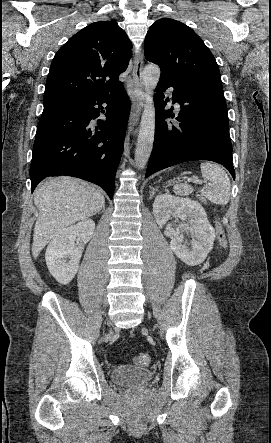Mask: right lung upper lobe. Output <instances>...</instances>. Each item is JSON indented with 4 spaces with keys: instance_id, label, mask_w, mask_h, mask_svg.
Segmentation results:
<instances>
[{
    "instance_id": "1",
    "label": "right lung upper lobe",
    "mask_w": 271,
    "mask_h": 443,
    "mask_svg": "<svg viewBox=\"0 0 271 443\" xmlns=\"http://www.w3.org/2000/svg\"><path fill=\"white\" fill-rule=\"evenodd\" d=\"M132 44L114 20L98 21L72 36L52 60L44 106L111 96L129 64Z\"/></svg>"
}]
</instances>
